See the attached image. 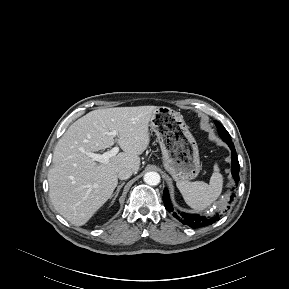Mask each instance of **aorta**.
<instances>
[{
	"label": "aorta",
	"mask_w": 289,
	"mask_h": 289,
	"mask_svg": "<svg viewBox=\"0 0 289 289\" xmlns=\"http://www.w3.org/2000/svg\"><path fill=\"white\" fill-rule=\"evenodd\" d=\"M144 182L151 186L158 185L160 183V175L157 172H147L144 175Z\"/></svg>",
	"instance_id": "obj_1"
}]
</instances>
